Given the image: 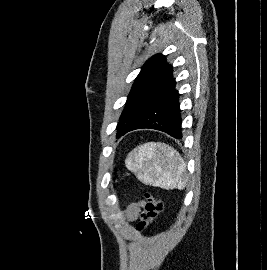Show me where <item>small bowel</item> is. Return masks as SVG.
Instances as JSON below:
<instances>
[{"label": "small bowel", "mask_w": 267, "mask_h": 270, "mask_svg": "<svg viewBox=\"0 0 267 270\" xmlns=\"http://www.w3.org/2000/svg\"><path fill=\"white\" fill-rule=\"evenodd\" d=\"M143 205H144L143 201L130 204L127 208V211H126L127 220H129V221L136 220L139 216V212L141 211Z\"/></svg>", "instance_id": "small-bowel-1"}]
</instances>
